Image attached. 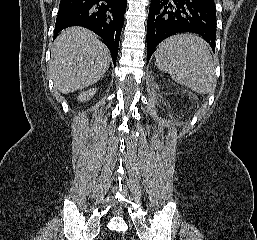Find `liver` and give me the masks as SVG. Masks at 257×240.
<instances>
[{"instance_id": "1", "label": "liver", "mask_w": 257, "mask_h": 240, "mask_svg": "<svg viewBox=\"0 0 257 240\" xmlns=\"http://www.w3.org/2000/svg\"><path fill=\"white\" fill-rule=\"evenodd\" d=\"M111 55L91 31L71 27L56 38L50 60L54 87L72 93L99 81L108 70Z\"/></svg>"}]
</instances>
